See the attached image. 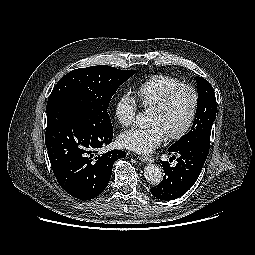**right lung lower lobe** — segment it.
<instances>
[{"instance_id":"1","label":"right lung lower lobe","mask_w":255,"mask_h":255,"mask_svg":"<svg viewBox=\"0 0 255 255\" xmlns=\"http://www.w3.org/2000/svg\"><path fill=\"white\" fill-rule=\"evenodd\" d=\"M113 129L103 130L79 108L59 103L47 111L45 144L59 185L71 196L90 200L109 183L115 161L126 156L121 150L98 154L110 144Z\"/></svg>"}]
</instances>
